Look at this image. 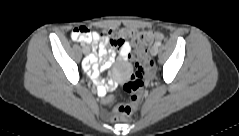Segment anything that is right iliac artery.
I'll list each match as a JSON object with an SVG mask.
<instances>
[{
	"label": "right iliac artery",
	"mask_w": 239,
	"mask_h": 136,
	"mask_svg": "<svg viewBox=\"0 0 239 136\" xmlns=\"http://www.w3.org/2000/svg\"><path fill=\"white\" fill-rule=\"evenodd\" d=\"M81 47H85V43H81Z\"/></svg>",
	"instance_id": "82829eb1"
}]
</instances>
